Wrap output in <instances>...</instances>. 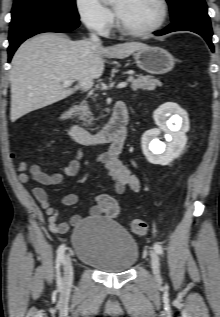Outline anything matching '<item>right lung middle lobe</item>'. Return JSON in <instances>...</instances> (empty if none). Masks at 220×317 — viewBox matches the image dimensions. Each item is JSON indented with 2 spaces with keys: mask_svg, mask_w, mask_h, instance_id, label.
<instances>
[{
  "mask_svg": "<svg viewBox=\"0 0 220 317\" xmlns=\"http://www.w3.org/2000/svg\"><path fill=\"white\" fill-rule=\"evenodd\" d=\"M40 14H54L79 20L75 0H15L11 23Z\"/></svg>",
  "mask_w": 220,
  "mask_h": 317,
  "instance_id": "dd1d6c3e",
  "label": "right lung middle lobe"
}]
</instances>
